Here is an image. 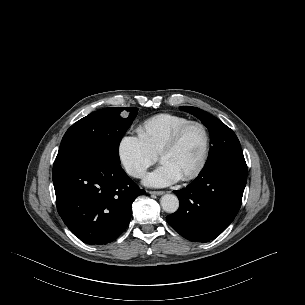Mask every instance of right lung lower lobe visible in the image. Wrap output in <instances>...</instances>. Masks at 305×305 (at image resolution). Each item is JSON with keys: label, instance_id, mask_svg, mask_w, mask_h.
I'll list each match as a JSON object with an SVG mask.
<instances>
[{"label": "right lung lower lobe", "instance_id": "right-lung-lower-lobe-1", "mask_svg": "<svg viewBox=\"0 0 305 305\" xmlns=\"http://www.w3.org/2000/svg\"><path fill=\"white\" fill-rule=\"evenodd\" d=\"M52 178L59 215L90 245L115 240L130 222L133 201L145 194L120 165L94 154L55 160Z\"/></svg>", "mask_w": 305, "mask_h": 305}]
</instances>
